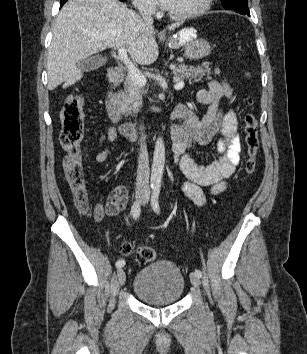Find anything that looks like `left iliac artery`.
Returning <instances> with one entry per match:
<instances>
[{"instance_id":"left-iliac-artery-1","label":"left iliac artery","mask_w":307,"mask_h":354,"mask_svg":"<svg viewBox=\"0 0 307 354\" xmlns=\"http://www.w3.org/2000/svg\"><path fill=\"white\" fill-rule=\"evenodd\" d=\"M152 188H153V191H152V195H151V206H152V209L154 210V212L159 214L160 208H159L158 199H159L161 186H160V184H155ZM194 273L198 277L202 276V272L199 269H196Z\"/></svg>"}]
</instances>
